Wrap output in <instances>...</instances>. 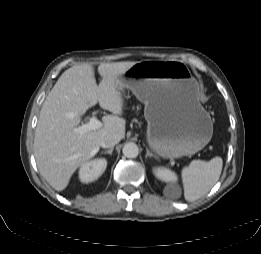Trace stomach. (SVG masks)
Returning a JSON list of instances; mask_svg holds the SVG:
<instances>
[{"mask_svg": "<svg viewBox=\"0 0 261 254\" xmlns=\"http://www.w3.org/2000/svg\"><path fill=\"white\" fill-rule=\"evenodd\" d=\"M119 88L131 90L145 104L147 143L156 155H192L211 140V117L199 102V84L185 63L137 62L119 77Z\"/></svg>", "mask_w": 261, "mask_h": 254, "instance_id": "stomach-1", "label": "stomach"}]
</instances>
